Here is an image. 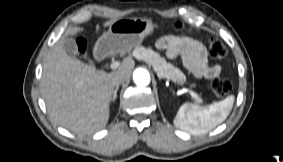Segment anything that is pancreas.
Instances as JSON below:
<instances>
[{
    "instance_id": "obj_1",
    "label": "pancreas",
    "mask_w": 283,
    "mask_h": 162,
    "mask_svg": "<svg viewBox=\"0 0 283 162\" xmlns=\"http://www.w3.org/2000/svg\"><path fill=\"white\" fill-rule=\"evenodd\" d=\"M133 56L138 60H143L151 64L160 78H166L174 82H179L184 78V74L171 63L167 62L159 53L150 48L137 47L133 51ZM200 101V99H197Z\"/></svg>"
}]
</instances>
